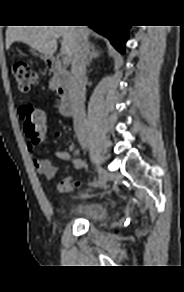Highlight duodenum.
<instances>
[{
  "label": "duodenum",
  "instance_id": "duodenum-1",
  "mask_svg": "<svg viewBox=\"0 0 184 292\" xmlns=\"http://www.w3.org/2000/svg\"><path fill=\"white\" fill-rule=\"evenodd\" d=\"M48 69L56 78L59 108L62 115L72 116L78 105V92L72 84L70 72L63 69L60 61L54 57L49 58Z\"/></svg>",
  "mask_w": 184,
  "mask_h": 292
}]
</instances>
